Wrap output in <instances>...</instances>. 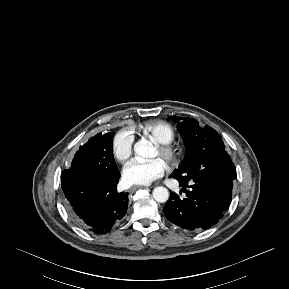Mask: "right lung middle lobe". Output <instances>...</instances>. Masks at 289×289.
<instances>
[{"mask_svg": "<svg viewBox=\"0 0 289 289\" xmlns=\"http://www.w3.org/2000/svg\"><path fill=\"white\" fill-rule=\"evenodd\" d=\"M112 136V132L98 133L88 140L76 152L70 169L79 173L98 175L117 169L112 151Z\"/></svg>", "mask_w": 289, "mask_h": 289, "instance_id": "right-lung-middle-lobe-1", "label": "right lung middle lobe"}]
</instances>
